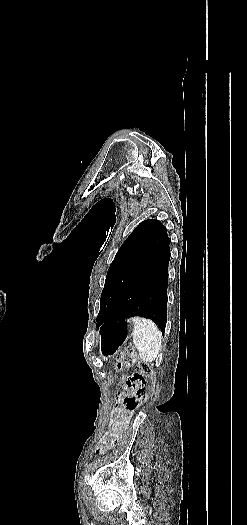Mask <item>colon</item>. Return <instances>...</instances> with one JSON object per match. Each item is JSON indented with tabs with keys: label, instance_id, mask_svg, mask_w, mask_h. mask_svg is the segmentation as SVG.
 Returning a JSON list of instances; mask_svg holds the SVG:
<instances>
[{
	"label": "colon",
	"instance_id": "obj_1",
	"mask_svg": "<svg viewBox=\"0 0 247 525\" xmlns=\"http://www.w3.org/2000/svg\"><path fill=\"white\" fill-rule=\"evenodd\" d=\"M137 368V372L127 379V386L135 389L133 394H126L123 406L129 412L136 411L148 396V387L152 380L153 365L142 360L131 346L124 348L117 356L113 369L121 373L129 366Z\"/></svg>",
	"mask_w": 247,
	"mask_h": 525
}]
</instances>
